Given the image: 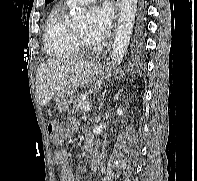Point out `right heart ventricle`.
Listing matches in <instances>:
<instances>
[{
    "label": "right heart ventricle",
    "instance_id": "right-heart-ventricle-1",
    "mask_svg": "<svg viewBox=\"0 0 197 181\" xmlns=\"http://www.w3.org/2000/svg\"><path fill=\"white\" fill-rule=\"evenodd\" d=\"M72 29L63 12L58 11L50 15L43 37L48 56L55 59H68L79 55V50L73 41Z\"/></svg>",
    "mask_w": 197,
    "mask_h": 181
}]
</instances>
